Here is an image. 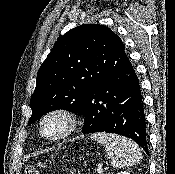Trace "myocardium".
<instances>
[{
  "mask_svg": "<svg viewBox=\"0 0 175 174\" xmlns=\"http://www.w3.org/2000/svg\"><path fill=\"white\" fill-rule=\"evenodd\" d=\"M54 116H60L64 118L66 121V127L58 135L49 136L44 131V124L49 118ZM78 124H79V118L74 111L68 108L58 107V108L51 109L50 111H48L43 115V117L40 120L39 131H40V134L45 139L55 142V141H60L69 137L77 129Z\"/></svg>",
  "mask_w": 175,
  "mask_h": 174,
  "instance_id": "1",
  "label": "myocardium"
}]
</instances>
